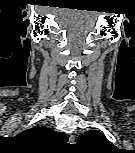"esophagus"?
<instances>
[{
    "mask_svg": "<svg viewBox=\"0 0 135 153\" xmlns=\"http://www.w3.org/2000/svg\"><path fill=\"white\" fill-rule=\"evenodd\" d=\"M75 142V136L73 135V134H71L70 136H69V143L70 144H73Z\"/></svg>",
    "mask_w": 135,
    "mask_h": 153,
    "instance_id": "1",
    "label": "esophagus"
}]
</instances>
